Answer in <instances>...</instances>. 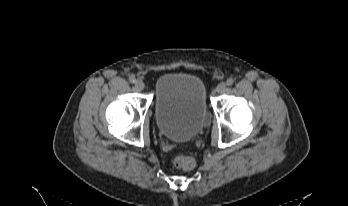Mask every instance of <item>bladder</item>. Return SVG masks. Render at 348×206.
Instances as JSON below:
<instances>
[{
  "instance_id": "31cf9c89",
  "label": "bladder",
  "mask_w": 348,
  "mask_h": 206,
  "mask_svg": "<svg viewBox=\"0 0 348 206\" xmlns=\"http://www.w3.org/2000/svg\"><path fill=\"white\" fill-rule=\"evenodd\" d=\"M159 131L173 141L194 139L209 122L205 86L196 76L165 74L154 85Z\"/></svg>"
}]
</instances>
